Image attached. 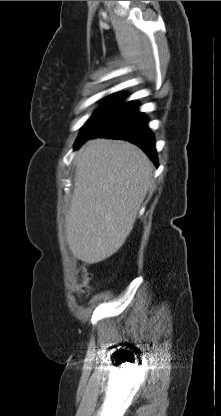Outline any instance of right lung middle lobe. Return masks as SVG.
<instances>
[{"label":"right lung middle lobe","mask_w":221,"mask_h":416,"mask_svg":"<svg viewBox=\"0 0 221 416\" xmlns=\"http://www.w3.org/2000/svg\"><path fill=\"white\" fill-rule=\"evenodd\" d=\"M123 100V97H115L111 101H108L105 105L100 107L96 113L87 121L81 130L79 138L90 134L103 124L119 107Z\"/></svg>","instance_id":"dd1d6c3e"}]
</instances>
